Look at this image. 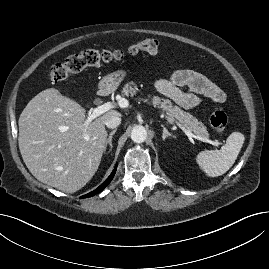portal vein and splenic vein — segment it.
<instances>
[{"instance_id":"obj_1","label":"portal vein and splenic vein","mask_w":269,"mask_h":269,"mask_svg":"<svg viewBox=\"0 0 269 269\" xmlns=\"http://www.w3.org/2000/svg\"><path fill=\"white\" fill-rule=\"evenodd\" d=\"M118 105L120 107H125L127 104L122 101H119L118 102ZM113 107L112 104L110 103H105L103 105H100L96 108H94L92 110V113L88 116V118L86 119L85 121V126H87L93 119H95L96 117L102 115L103 113L109 111L111 108ZM178 125L181 127V129L185 132V134L190 137V138H195V139H198V140H202L203 142H206V143H209V144H212V145H215V146H218L219 145V142L217 141H212V140H209V139H204V138H200L198 136H195L190 130L186 129L184 126H182L181 124L178 123Z\"/></svg>"}]
</instances>
